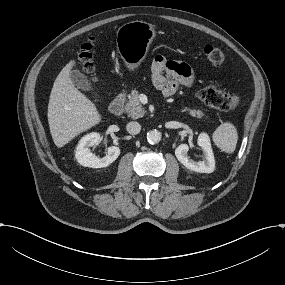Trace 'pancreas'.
I'll return each mask as SVG.
<instances>
[{
  "label": "pancreas",
  "mask_w": 285,
  "mask_h": 285,
  "mask_svg": "<svg viewBox=\"0 0 285 285\" xmlns=\"http://www.w3.org/2000/svg\"><path fill=\"white\" fill-rule=\"evenodd\" d=\"M125 110L127 113H129V116L135 119L143 117L147 113V111L140 104L139 91L135 89L131 91L130 99L125 105ZM184 110L187 111L190 116L196 119H202L205 116V113L199 108H185ZM205 119H209V117H206Z\"/></svg>",
  "instance_id": "pancreas-1"
}]
</instances>
